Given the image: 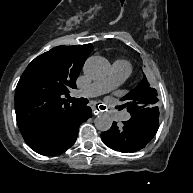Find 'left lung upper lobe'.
Returning a JSON list of instances; mask_svg holds the SVG:
<instances>
[{
  "label": "left lung upper lobe",
  "mask_w": 193,
  "mask_h": 193,
  "mask_svg": "<svg viewBox=\"0 0 193 193\" xmlns=\"http://www.w3.org/2000/svg\"><path fill=\"white\" fill-rule=\"evenodd\" d=\"M122 101L126 102L124 106L127 107V110L130 112V114L141 109L155 108L158 110L157 91L149 85L145 76L140 85L129 94L124 96Z\"/></svg>",
  "instance_id": "obj_1"
}]
</instances>
